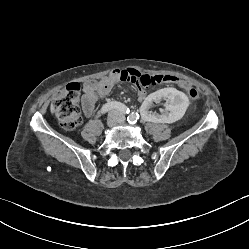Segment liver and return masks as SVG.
<instances>
[{
    "mask_svg": "<svg viewBox=\"0 0 249 249\" xmlns=\"http://www.w3.org/2000/svg\"><path fill=\"white\" fill-rule=\"evenodd\" d=\"M50 111H51V113H54V112H55V109H54V105H53V104H51V106H50Z\"/></svg>",
    "mask_w": 249,
    "mask_h": 249,
    "instance_id": "obj_1",
    "label": "liver"
}]
</instances>
